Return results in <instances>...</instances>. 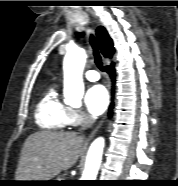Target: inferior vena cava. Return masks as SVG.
<instances>
[{
  "instance_id": "1",
  "label": "inferior vena cava",
  "mask_w": 178,
  "mask_h": 186,
  "mask_svg": "<svg viewBox=\"0 0 178 186\" xmlns=\"http://www.w3.org/2000/svg\"><path fill=\"white\" fill-rule=\"evenodd\" d=\"M95 122L94 117L90 116V115H86L84 118V121L82 123V128L81 130H85L89 127H91L93 125V123Z\"/></svg>"
}]
</instances>
